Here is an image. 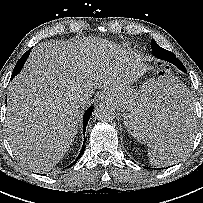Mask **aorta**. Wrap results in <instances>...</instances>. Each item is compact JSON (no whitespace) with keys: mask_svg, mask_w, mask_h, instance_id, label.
Returning a JSON list of instances; mask_svg holds the SVG:
<instances>
[{"mask_svg":"<svg viewBox=\"0 0 203 203\" xmlns=\"http://www.w3.org/2000/svg\"><path fill=\"white\" fill-rule=\"evenodd\" d=\"M94 113L98 120L102 122H110L115 118V108L107 102L97 105Z\"/></svg>","mask_w":203,"mask_h":203,"instance_id":"obj_1","label":"aorta"}]
</instances>
